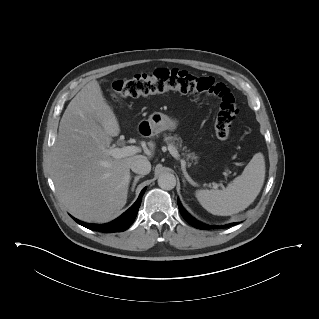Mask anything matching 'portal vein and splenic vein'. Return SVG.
Here are the masks:
<instances>
[{
	"instance_id": "1",
	"label": "portal vein and splenic vein",
	"mask_w": 319,
	"mask_h": 319,
	"mask_svg": "<svg viewBox=\"0 0 319 319\" xmlns=\"http://www.w3.org/2000/svg\"><path fill=\"white\" fill-rule=\"evenodd\" d=\"M168 150L170 154L176 158L179 159L180 155L178 154V151L175 149L173 145L168 146ZM140 148L137 146H124L122 148H109L105 150V153L112 156L115 159H121L128 156H133L136 153L140 152ZM182 165H185V161L181 160Z\"/></svg>"
}]
</instances>
